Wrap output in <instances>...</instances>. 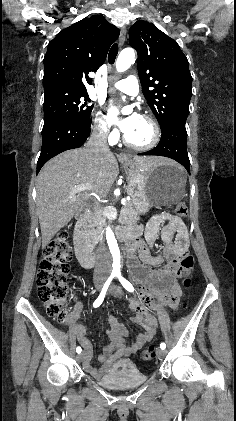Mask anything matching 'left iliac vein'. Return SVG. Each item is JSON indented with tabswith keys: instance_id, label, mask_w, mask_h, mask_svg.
I'll list each match as a JSON object with an SVG mask.
<instances>
[{
	"instance_id": "obj_1",
	"label": "left iliac vein",
	"mask_w": 236,
	"mask_h": 421,
	"mask_svg": "<svg viewBox=\"0 0 236 421\" xmlns=\"http://www.w3.org/2000/svg\"><path fill=\"white\" fill-rule=\"evenodd\" d=\"M109 293L112 295H116L121 297L122 296V289L117 285H112L109 289ZM156 354L158 357L162 358L165 356V351L163 349H157Z\"/></svg>"
}]
</instances>
